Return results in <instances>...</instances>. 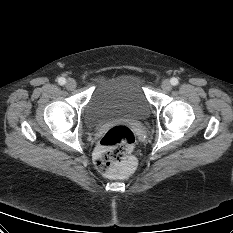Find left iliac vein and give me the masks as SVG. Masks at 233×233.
<instances>
[{"label": "left iliac vein", "mask_w": 233, "mask_h": 233, "mask_svg": "<svg viewBox=\"0 0 233 233\" xmlns=\"http://www.w3.org/2000/svg\"><path fill=\"white\" fill-rule=\"evenodd\" d=\"M161 87H162V89L165 90V91H170L171 88H172L170 81L167 80V79L164 80V81L162 82Z\"/></svg>", "instance_id": "4c4485c4"}]
</instances>
